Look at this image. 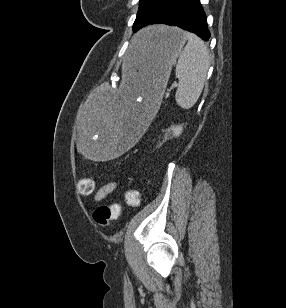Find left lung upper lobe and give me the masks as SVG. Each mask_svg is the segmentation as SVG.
Returning <instances> with one entry per match:
<instances>
[{
  "label": "left lung upper lobe",
  "instance_id": "obj_1",
  "mask_svg": "<svg viewBox=\"0 0 286 308\" xmlns=\"http://www.w3.org/2000/svg\"><path fill=\"white\" fill-rule=\"evenodd\" d=\"M172 0H140L137 18L133 25L134 32L142 27L152 24L161 11L169 6Z\"/></svg>",
  "mask_w": 286,
  "mask_h": 308
}]
</instances>
